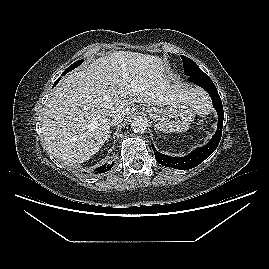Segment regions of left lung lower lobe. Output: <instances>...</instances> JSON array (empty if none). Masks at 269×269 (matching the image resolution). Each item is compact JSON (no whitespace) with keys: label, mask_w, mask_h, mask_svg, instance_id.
<instances>
[{"label":"left lung lower lobe","mask_w":269,"mask_h":269,"mask_svg":"<svg viewBox=\"0 0 269 269\" xmlns=\"http://www.w3.org/2000/svg\"><path fill=\"white\" fill-rule=\"evenodd\" d=\"M188 80L202 87L209 93L213 102V106L216 109L217 114H218V124H217V131L215 132L213 137L210 139L208 144H206L203 147H199L193 150L189 155L185 157H181V158L170 157V156L161 154L160 152L155 150L154 152L155 158L159 164L166 167H172V168L182 169V170L191 169L198 166L201 162H203L206 158H208L213 153V151L217 148L221 139L223 119H224L222 102L212 80L205 73H200L197 75L190 76Z\"/></svg>","instance_id":"obj_1"}]
</instances>
